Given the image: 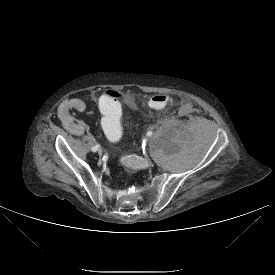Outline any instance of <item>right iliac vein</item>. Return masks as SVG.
<instances>
[{
	"instance_id": "right-iliac-vein-1",
	"label": "right iliac vein",
	"mask_w": 275,
	"mask_h": 275,
	"mask_svg": "<svg viewBox=\"0 0 275 275\" xmlns=\"http://www.w3.org/2000/svg\"><path fill=\"white\" fill-rule=\"evenodd\" d=\"M97 152L101 155L102 154V149L98 148Z\"/></svg>"
}]
</instances>
